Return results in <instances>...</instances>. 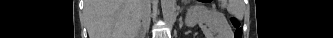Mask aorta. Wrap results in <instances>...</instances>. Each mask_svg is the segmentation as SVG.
<instances>
[{
  "label": "aorta",
  "mask_w": 333,
  "mask_h": 38,
  "mask_svg": "<svg viewBox=\"0 0 333 38\" xmlns=\"http://www.w3.org/2000/svg\"><path fill=\"white\" fill-rule=\"evenodd\" d=\"M176 0H161L163 18L169 27H172L176 20Z\"/></svg>",
  "instance_id": "1"
}]
</instances>
